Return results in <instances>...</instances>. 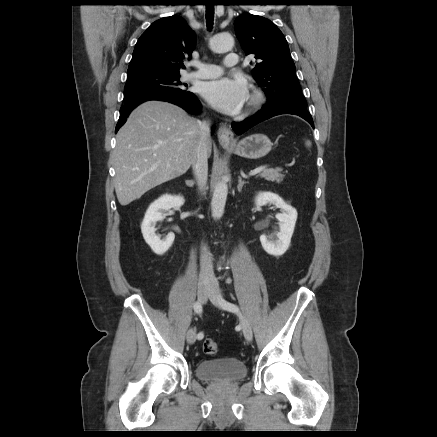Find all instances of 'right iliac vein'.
Instances as JSON below:
<instances>
[{
    "instance_id": "63e3f726",
    "label": "right iliac vein",
    "mask_w": 437,
    "mask_h": 437,
    "mask_svg": "<svg viewBox=\"0 0 437 437\" xmlns=\"http://www.w3.org/2000/svg\"><path fill=\"white\" fill-rule=\"evenodd\" d=\"M211 293V288L208 285L200 284L198 286V300L201 303H205L207 298ZM186 340L188 344H193L196 341V331L194 329H189L186 335Z\"/></svg>"
}]
</instances>
